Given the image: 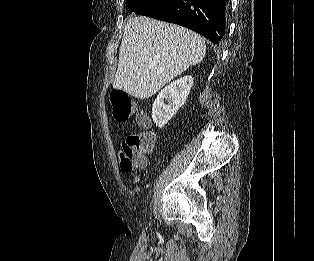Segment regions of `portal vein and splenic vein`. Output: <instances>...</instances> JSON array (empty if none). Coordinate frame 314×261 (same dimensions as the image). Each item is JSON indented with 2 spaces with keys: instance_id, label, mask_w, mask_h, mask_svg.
<instances>
[{
  "instance_id": "obj_1",
  "label": "portal vein and splenic vein",
  "mask_w": 314,
  "mask_h": 261,
  "mask_svg": "<svg viewBox=\"0 0 314 261\" xmlns=\"http://www.w3.org/2000/svg\"><path fill=\"white\" fill-rule=\"evenodd\" d=\"M159 71H161V72H162L163 70H162V69H159Z\"/></svg>"
}]
</instances>
